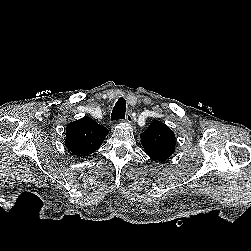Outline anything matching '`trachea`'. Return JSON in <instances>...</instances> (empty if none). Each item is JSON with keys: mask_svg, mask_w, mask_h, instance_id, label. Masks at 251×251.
<instances>
[{"mask_svg": "<svg viewBox=\"0 0 251 251\" xmlns=\"http://www.w3.org/2000/svg\"><path fill=\"white\" fill-rule=\"evenodd\" d=\"M126 112V100L124 98H119L116 102L112 114H111V121L124 119Z\"/></svg>", "mask_w": 251, "mask_h": 251, "instance_id": "trachea-1", "label": "trachea"}]
</instances>
